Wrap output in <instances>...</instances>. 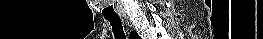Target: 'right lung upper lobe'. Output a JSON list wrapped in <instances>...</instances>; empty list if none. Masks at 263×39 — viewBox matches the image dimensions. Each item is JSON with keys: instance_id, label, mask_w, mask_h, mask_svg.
I'll list each match as a JSON object with an SVG mask.
<instances>
[{"instance_id": "obj_1", "label": "right lung upper lobe", "mask_w": 263, "mask_h": 39, "mask_svg": "<svg viewBox=\"0 0 263 39\" xmlns=\"http://www.w3.org/2000/svg\"><path fill=\"white\" fill-rule=\"evenodd\" d=\"M130 35H132L133 37H138V34H137V33H135V31L131 32V34H130Z\"/></svg>"}]
</instances>
